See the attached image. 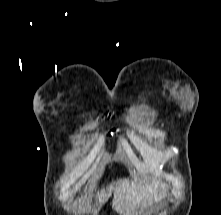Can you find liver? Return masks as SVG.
Listing matches in <instances>:
<instances>
[{
    "mask_svg": "<svg viewBox=\"0 0 221 215\" xmlns=\"http://www.w3.org/2000/svg\"><path fill=\"white\" fill-rule=\"evenodd\" d=\"M161 189L165 186L161 185ZM113 192L112 208L120 215H132L135 209L142 205L146 207L151 205L153 200L156 201L161 195H158L156 185L147 184L141 186L136 182H132L130 185L128 180H118L113 182L106 189L102 188L97 193V210L94 211V215H97L102 205L109 199Z\"/></svg>",
    "mask_w": 221,
    "mask_h": 215,
    "instance_id": "6515ba94",
    "label": "liver"
}]
</instances>
